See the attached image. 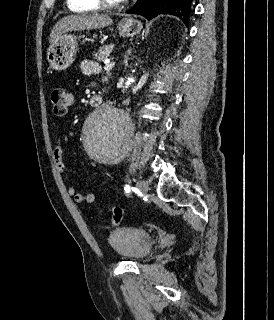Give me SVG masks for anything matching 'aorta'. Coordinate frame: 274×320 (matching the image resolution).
<instances>
[{"mask_svg": "<svg viewBox=\"0 0 274 320\" xmlns=\"http://www.w3.org/2000/svg\"><path fill=\"white\" fill-rule=\"evenodd\" d=\"M133 79L127 78L120 95L91 113L82 131V143L88 156L101 163L120 161L132 145L133 125L122 109L123 95ZM123 93V95H122Z\"/></svg>", "mask_w": 274, "mask_h": 320, "instance_id": "obj_1", "label": "aorta"}]
</instances>
